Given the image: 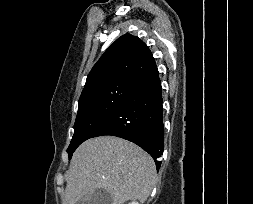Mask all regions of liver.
Returning <instances> with one entry per match:
<instances>
[{"mask_svg":"<svg viewBox=\"0 0 253 204\" xmlns=\"http://www.w3.org/2000/svg\"><path fill=\"white\" fill-rule=\"evenodd\" d=\"M63 204H77L105 189L113 204L147 200L156 183L152 157L132 142L115 136L91 138L74 152L66 174Z\"/></svg>","mask_w":253,"mask_h":204,"instance_id":"1","label":"liver"}]
</instances>
